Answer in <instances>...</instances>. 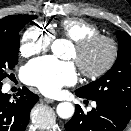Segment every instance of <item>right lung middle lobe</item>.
I'll use <instances>...</instances> for the list:
<instances>
[{
  "instance_id": "1",
  "label": "right lung middle lobe",
  "mask_w": 131,
  "mask_h": 131,
  "mask_svg": "<svg viewBox=\"0 0 131 131\" xmlns=\"http://www.w3.org/2000/svg\"><path fill=\"white\" fill-rule=\"evenodd\" d=\"M35 18V15H13L7 24L0 25V86L8 76L6 70L12 69L18 62L19 31Z\"/></svg>"
}]
</instances>
